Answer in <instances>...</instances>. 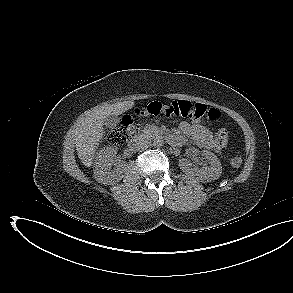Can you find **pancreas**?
<instances>
[{
    "label": "pancreas",
    "mask_w": 293,
    "mask_h": 293,
    "mask_svg": "<svg viewBox=\"0 0 293 293\" xmlns=\"http://www.w3.org/2000/svg\"><path fill=\"white\" fill-rule=\"evenodd\" d=\"M143 132L149 136H156L160 134V128L155 125H148L144 128Z\"/></svg>",
    "instance_id": "1"
}]
</instances>
